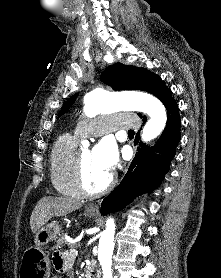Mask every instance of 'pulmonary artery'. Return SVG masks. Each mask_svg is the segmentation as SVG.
Returning <instances> with one entry per match:
<instances>
[{
    "label": "pulmonary artery",
    "mask_w": 221,
    "mask_h": 278,
    "mask_svg": "<svg viewBox=\"0 0 221 278\" xmlns=\"http://www.w3.org/2000/svg\"><path fill=\"white\" fill-rule=\"evenodd\" d=\"M140 122L136 115H104L94 120L81 121L75 128V133L81 137L100 136L116 129L138 128Z\"/></svg>",
    "instance_id": "e3ab8cb5"
}]
</instances>
